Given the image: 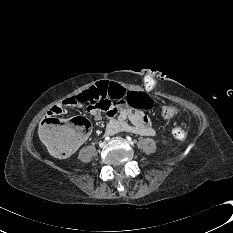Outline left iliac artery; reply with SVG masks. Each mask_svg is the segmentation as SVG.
<instances>
[{
	"mask_svg": "<svg viewBox=\"0 0 233 233\" xmlns=\"http://www.w3.org/2000/svg\"><path fill=\"white\" fill-rule=\"evenodd\" d=\"M127 140H128V142L130 143V144H133L135 141L134 140H132V138L131 137H127Z\"/></svg>",
	"mask_w": 233,
	"mask_h": 233,
	"instance_id": "left-iliac-artery-1",
	"label": "left iliac artery"
}]
</instances>
